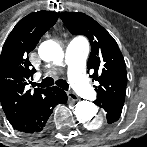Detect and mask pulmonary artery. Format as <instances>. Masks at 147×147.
<instances>
[{"instance_id":"e3ab8cb5","label":"pulmonary artery","mask_w":147,"mask_h":147,"mask_svg":"<svg viewBox=\"0 0 147 147\" xmlns=\"http://www.w3.org/2000/svg\"><path fill=\"white\" fill-rule=\"evenodd\" d=\"M88 54V45L81 38L72 39L65 53L71 84L82 97L91 99L95 92L83 75V65Z\"/></svg>"}]
</instances>
